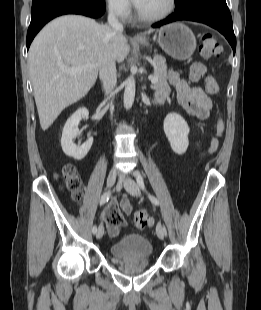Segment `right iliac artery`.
<instances>
[{"label":"right iliac artery","mask_w":261,"mask_h":310,"mask_svg":"<svg viewBox=\"0 0 261 310\" xmlns=\"http://www.w3.org/2000/svg\"><path fill=\"white\" fill-rule=\"evenodd\" d=\"M110 196H111V191L105 192V193L102 195L101 199H100V206L103 205V204H105V203L109 200ZM92 233H93V234H96V233H97V227H96V225L93 226V228H92Z\"/></svg>","instance_id":"obj_1"}]
</instances>
